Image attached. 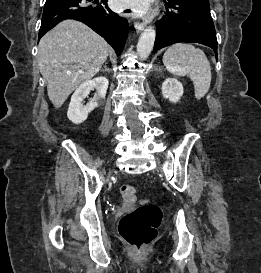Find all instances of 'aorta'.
Segmentation results:
<instances>
[{
  "mask_svg": "<svg viewBox=\"0 0 261 273\" xmlns=\"http://www.w3.org/2000/svg\"><path fill=\"white\" fill-rule=\"evenodd\" d=\"M156 37V31L153 27L146 28L141 34L137 43V54L140 59L145 60L150 55Z\"/></svg>",
  "mask_w": 261,
  "mask_h": 273,
  "instance_id": "1",
  "label": "aorta"
}]
</instances>
